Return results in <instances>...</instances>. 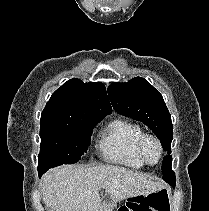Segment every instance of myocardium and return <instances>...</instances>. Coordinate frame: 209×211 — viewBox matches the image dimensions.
<instances>
[{"label":"myocardium","instance_id":"f54148a6","mask_svg":"<svg viewBox=\"0 0 209 211\" xmlns=\"http://www.w3.org/2000/svg\"><path fill=\"white\" fill-rule=\"evenodd\" d=\"M147 141H153L157 147H158V150H159V156H158V159L155 161V162H150L147 157L145 156V153H144V145ZM136 151H137V154L138 156L140 157V159L142 160V162L146 165H150V166H153V165H156L158 164L162 157H163V146H162V143L160 141V139L154 135V134H151V133H145L143 132L141 134V136L139 137L138 141H137V144H136Z\"/></svg>","mask_w":209,"mask_h":211}]
</instances>
